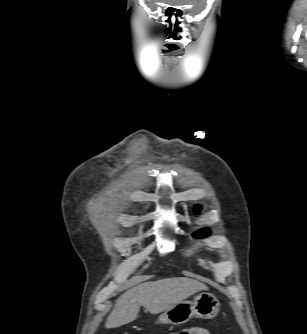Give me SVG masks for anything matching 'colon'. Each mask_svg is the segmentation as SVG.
<instances>
[{
    "label": "colon",
    "mask_w": 307,
    "mask_h": 334,
    "mask_svg": "<svg viewBox=\"0 0 307 334\" xmlns=\"http://www.w3.org/2000/svg\"><path fill=\"white\" fill-rule=\"evenodd\" d=\"M124 334H129V333H124ZM172 334H183L182 332H176V333H172Z\"/></svg>",
    "instance_id": "obj_1"
}]
</instances>
